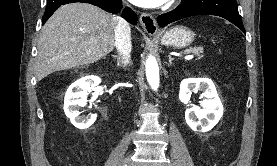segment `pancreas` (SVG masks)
I'll use <instances>...</instances> for the list:
<instances>
[{"mask_svg": "<svg viewBox=\"0 0 277 166\" xmlns=\"http://www.w3.org/2000/svg\"><path fill=\"white\" fill-rule=\"evenodd\" d=\"M188 53H194L198 57H203V48L202 47H194L186 50Z\"/></svg>", "mask_w": 277, "mask_h": 166, "instance_id": "pancreas-1", "label": "pancreas"}]
</instances>
